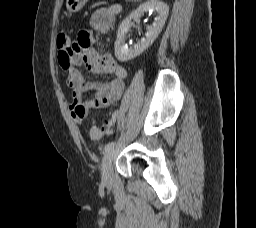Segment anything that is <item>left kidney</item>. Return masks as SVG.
Instances as JSON below:
<instances>
[{
    "mask_svg": "<svg viewBox=\"0 0 256 228\" xmlns=\"http://www.w3.org/2000/svg\"><path fill=\"white\" fill-rule=\"evenodd\" d=\"M146 11H156L158 16L155 18L153 24L147 27L145 37L133 47L128 48L125 44V37L130 27L132 26V19L141 17ZM169 7L164 2L159 0H149L141 4L135 11H133L122 23L120 24L117 32V39L115 42V56L121 61L125 62L131 60L142 52H144L154 40L158 37L162 28L165 25L168 17Z\"/></svg>",
    "mask_w": 256,
    "mask_h": 228,
    "instance_id": "left-kidney-1",
    "label": "left kidney"
}]
</instances>
